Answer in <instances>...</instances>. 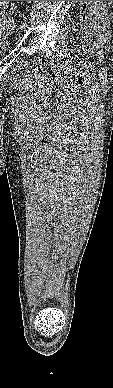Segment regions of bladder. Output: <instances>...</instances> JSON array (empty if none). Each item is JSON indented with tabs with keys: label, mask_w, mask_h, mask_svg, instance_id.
<instances>
[{
	"label": "bladder",
	"mask_w": 113,
	"mask_h": 388,
	"mask_svg": "<svg viewBox=\"0 0 113 388\" xmlns=\"http://www.w3.org/2000/svg\"><path fill=\"white\" fill-rule=\"evenodd\" d=\"M14 28V24L11 21H0V57L5 56L9 52V45L5 41V38L10 34Z\"/></svg>",
	"instance_id": "bladder-1"
}]
</instances>
